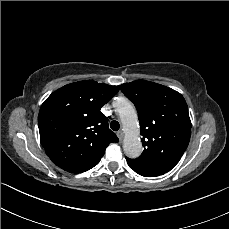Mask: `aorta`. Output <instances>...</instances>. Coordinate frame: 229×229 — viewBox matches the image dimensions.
<instances>
[{
  "mask_svg": "<svg viewBox=\"0 0 229 229\" xmlns=\"http://www.w3.org/2000/svg\"><path fill=\"white\" fill-rule=\"evenodd\" d=\"M116 107L125 133L123 140L124 153L130 158H136L142 152L136 110L133 104L125 98H119L116 102Z\"/></svg>",
  "mask_w": 229,
  "mask_h": 229,
  "instance_id": "1",
  "label": "aorta"
}]
</instances>
